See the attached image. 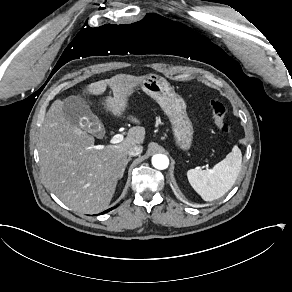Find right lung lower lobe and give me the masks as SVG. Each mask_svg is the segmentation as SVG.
I'll list each match as a JSON object with an SVG mask.
<instances>
[{
    "label": "right lung lower lobe",
    "mask_w": 292,
    "mask_h": 292,
    "mask_svg": "<svg viewBox=\"0 0 292 292\" xmlns=\"http://www.w3.org/2000/svg\"><path fill=\"white\" fill-rule=\"evenodd\" d=\"M113 208H114V207H113ZM113 208H110V209L106 210L105 212H108V211L112 210ZM105 212H104V213H105Z\"/></svg>",
    "instance_id": "obj_1"
}]
</instances>
